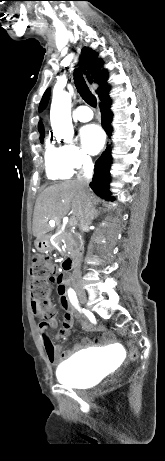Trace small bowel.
Listing matches in <instances>:
<instances>
[{
	"mask_svg": "<svg viewBox=\"0 0 165 461\" xmlns=\"http://www.w3.org/2000/svg\"><path fill=\"white\" fill-rule=\"evenodd\" d=\"M56 282V288L58 289L57 297L58 299H60L61 306L65 310L62 324L58 330L56 338H64L70 333L75 314L73 311L72 304L70 300L67 298L68 292L66 291L65 271H57ZM31 307L33 314L35 316L42 318V321L39 324L40 335L43 336L48 329L57 327V319L55 317L54 312L50 317H47L37 308L36 304L33 301L31 303ZM83 326L87 330H91L93 328L92 325L86 321H83ZM97 343L98 341L96 339L84 338L73 348L67 350H61L58 346L54 345V343L49 339H44L43 344L47 354V358L50 361V363L58 364L59 362L71 357L78 350Z\"/></svg>",
	"mask_w": 165,
	"mask_h": 461,
	"instance_id": "obj_1",
	"label": "small bowel"
}]
</instances>
